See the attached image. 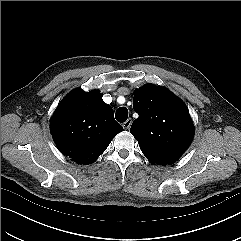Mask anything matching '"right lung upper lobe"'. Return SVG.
<instances>
[{
  "label": "right lung upper lobe",
  "mask_w": 241,
  "mask_h": 241,
  "mask_svg": "<svg viewBox=\"0 0 241 241\" xmlns=\"http://www.w3.org/2000/svg\"><path fill=\"white\" fill-rule=\"evenodd\" d=\"M123 128L99 91L74 90L56 108L51 133L59 150L79 164H90Z\"/></svg>",
  "instance_id": "obj_1"
}]
</instances>
